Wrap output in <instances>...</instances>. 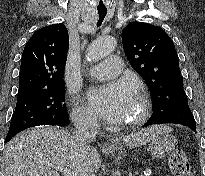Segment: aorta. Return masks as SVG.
<instances>
[{"mask_svg":"<svg viewBox=\"0 0 205 176\" xmlns=\"http://www.w3.org/2000/svg\"><path fill=\"white\" fill-rule=\"evenodd\" d=\"M116 41L112 37L99 38L95 40L87 51L89 61L97 62L114 51Z\"/></svg>","mask_w":205,"mask_h":176,"instance_id":"762f6f07","label":"aorta"}]
</instances>
